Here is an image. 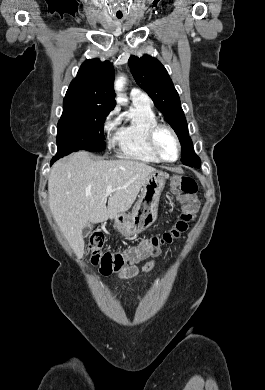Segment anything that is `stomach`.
<instances>
[{
    "mask_svg": "<svg viewBox=\"0 0 265 390\" xmlns=\"http://www.w3.org/2000/svg\"><path fill=\"white\" fill-rule=\"evenodd\" d=\"M168 174L155 171L145 180L141 195L130 213L115 217V226L124 236H134L149 228L157 219L158 204Z\"/></svg>",
    "mask_w": 265,
    "mask_h": 390,
    "instance_id": "0dacf381",
    "label": "stomach"
}]
</instances>
